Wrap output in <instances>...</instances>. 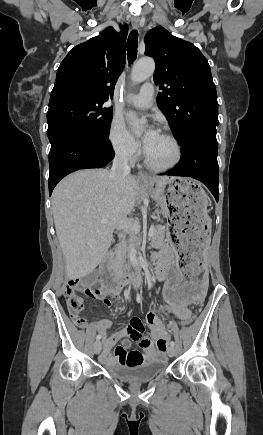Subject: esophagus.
I'll return each mask as SVG.
<instances>
[{
	"instance_id": "34e87169",
	"label": "esophagus",
	"mask_w": 263,
	"mask_h": 435,
	"mask_svg": "<svg viewBox=\"0 0 263 435\" xmlns=\"http://www.w3.org/2000/svg\"><path fill=\"white\" fill-rule=\"evenodd\" d=\"M133 28L137 29L139 26V19L133 18L131 20ZM138 178L142 181L148 182L150 180V176L142 171L138 173Z\"/></svg>"
}]
</instances>
